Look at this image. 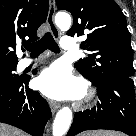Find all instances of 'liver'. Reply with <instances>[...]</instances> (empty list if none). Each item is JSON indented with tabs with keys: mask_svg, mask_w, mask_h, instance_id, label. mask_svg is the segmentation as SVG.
Instances as JSON below:
<instances>
[{
	"mask_svg": "<svg viewBox=\"0 0 136 136\" xmlns=\"http://www.w3.org/2000/svg\"><path fill=\"white\" fill-rule=\"evenodd\" d=\"M0 136H26V135L12 126L0 123Z\"/></svg>",
	"mask_w": 136,
	"mask_h": 136,
	"instance_id": "obj_1",
	"label": "liver"
}]
</instances>
